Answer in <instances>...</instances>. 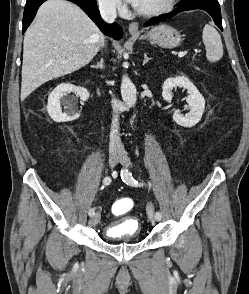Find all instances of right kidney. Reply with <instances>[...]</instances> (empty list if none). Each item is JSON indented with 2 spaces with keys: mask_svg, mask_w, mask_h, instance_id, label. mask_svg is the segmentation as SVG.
Here are the masks:
<instances>
[{
  "mask_svg": "<svg viewBox=\"0 0 249 294\" xmlns=\"http://www.w3.org/2000/svg\"><path fill=\"white\" fill-rule=\"evenodd\" d=\"M74 92L80 97L81 101H87L89 92L83 87H77L72 84L63 83L58 85L48 97L47 112L55 122H68L79 118L80 114L76 112L75 101L64 98L65 93ZM64 106L65 111L62 112Z\"/></svg>",
  "mask_w": 249,
  "mask_h": 294,
  "instance_id": "right-kidney-1",
  "label": "right kidney"
}]
</instances>
